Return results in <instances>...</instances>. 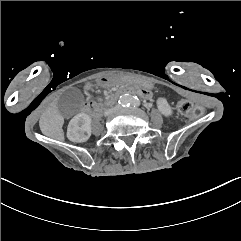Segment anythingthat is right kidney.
<instances>
[{"label": "right kidney", "mask_w": 241, "mask_h": 241, "mask_svg": "<svg viewBox=\"0 0 241 241\" xmlns=\"http://www.w3.org/2000/svg\"><path fill=\"white\" fill-rule=\"evenodd\" d=\"M91 123L92 118L85 113H79L74 116L67 127L68 140L74 143L88 141L92 135Z\"/></svg>", "instance_id": "ca27d5eb"}]
</instances>
